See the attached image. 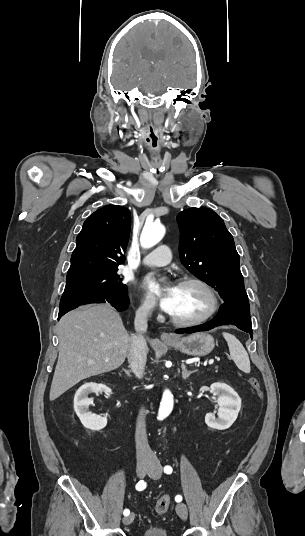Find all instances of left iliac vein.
I'll return each instance as SVG.
<instances>
[{
    "label": "left iliac vein",
    "instance_id": "obj_1",
    "mask_svg": "<svg viewBox=\"0 0 305 536\" xmlns=\"http://www.w3.org/2000/svg\"><path fill=\"white\" fill-rule=\"evenodd\" d=\"M162 472V468L160 466H155L152 470L148 471L149 477L159 478ZM176 512L178 516H180L182 519L186 520L188 517V510L187 506L184 503H178L176 505Z\"/></svg>",
    "mask_w": 305,
    "mask_h": 536
}]
</instances>
